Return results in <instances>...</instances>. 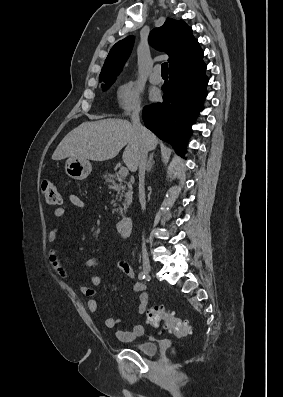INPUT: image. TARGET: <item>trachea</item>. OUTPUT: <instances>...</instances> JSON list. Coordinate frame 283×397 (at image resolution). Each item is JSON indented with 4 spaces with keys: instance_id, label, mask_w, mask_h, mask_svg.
Wrapping results in <instances>:
<instances>
[{
    "instance_id": "trachea-1",
    "label": "trachea",
    "mask_w": 283,
    "mask_h": 397,
    "mask_svg": "<svg viewBox=\"0 0 283 397\" xmlns=\"http://www.w3.org/2000/svg\"><path fill=\"white\" fill-rule=\"evenodd\" d=\"M161 74L162 75H167L168 74V63L167 62H164L161 65Z\"/></svg>"
}]
</instances>
